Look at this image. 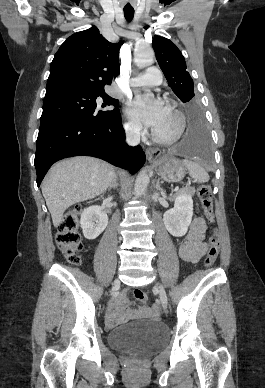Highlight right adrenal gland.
<instances>
[{"mask_svg":"<svg viewBox=\"0 0 265 388\" xmlns=\"http://www.w3.org/2000/svg\"><path fill=\"white\" fill-rule=\"evenodd\" d=\"M118 178H114L111 186H109L108 190H112V188H118L119 184H117Z\"/></svg>","mask_w":265,"mask_h":388,"instance_id":"right-adrenal-gland-1","label":"right adrenal gland"}]
</instances>
